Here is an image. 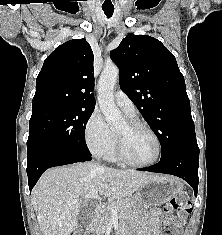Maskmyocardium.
I'll list each match as a JSON object with an SVG mask.
<instances>
[{"instance_id":"obj_1","label":"myocardium","mask_w":222,"mask_h":235,"mask_svg":"<svg viewBox=\"0 0 222 235\" xmlns=\"http://www.w3.org/2000/svg\"><path fill=\"white\" fill-rule=\"evenodd\" d=\"M127 124L131 130H145L148 133H150L156 140L158 150H157V154L155 158L152 159L151 161L145 162V163L135 162L132 159H130V157L128 156L126 149H125V143H124L123 138L118 133H116V147L115 148H116V155H117L118 160H120L124 164H127L132 167H137V168L149 167V166L156 164L162 157V153H163L162 141L159 135L150 126H148L147 124L143 123L140 120L130 118L127 120Z\"/></svg>"}]
</instances>
